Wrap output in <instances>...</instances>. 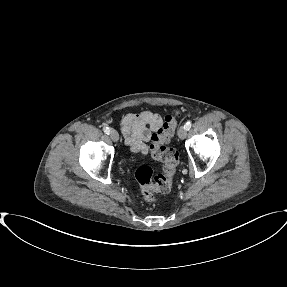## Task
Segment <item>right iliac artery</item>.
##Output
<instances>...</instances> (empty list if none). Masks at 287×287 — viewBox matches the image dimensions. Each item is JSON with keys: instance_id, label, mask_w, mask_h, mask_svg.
Wrapping results in <instances>:
<instances>
[{"instance_id": "1", "label": "right iliac artery", "mask_w": 287, "mask_h": 287, "mask_svg": "<svg viewBox=\"0 0 287 287\" xmlns=\"http://www.w3.org/2000/svg\"><path fill=\"white\" fill-rule=\"evenodd\" d=\"M103 130L106 134H108V135L110 134V128L109 127H104Z\"/></svg>"}]
</instances>
